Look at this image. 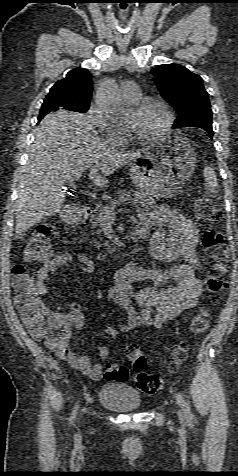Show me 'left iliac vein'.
<instances>
[{
  "mask_svg": "<svg viewBox=\"0 0 238 476\" xmlns=\"http://www.w3.org/2000/svg\"><path fill=\"white\" fill-rule=\"evenodd\" d=\"M178 417H179L180 421L183 423V421H184V416H183V414H182V412H181L180 410L178 411Z\"/></svg>",
  "mask_w": 238,
  "mask_h": 476,
  "instance_id": "1",
  "label": "left iliac vein"
}]
</instances>
